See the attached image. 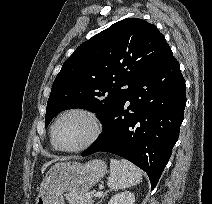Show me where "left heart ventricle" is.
I'll return each mask as SVG.
<instances>
[{"label": "left heart ventricle", "mask_w": 212, "mask_h": 204, "mask_svg": "<svg viewBox=\"0 0 212 204\" xmlns=\"http://www.w3.org/2000/svg\"><path fill=\"white\" fill-rule=\"evenodd\" d=\"M89 122L80 115H69L63 118L56 127V139L65 148L81 145L90 135Z\"/></svg>", "instance_id": "obj_1"}]
</instances>
